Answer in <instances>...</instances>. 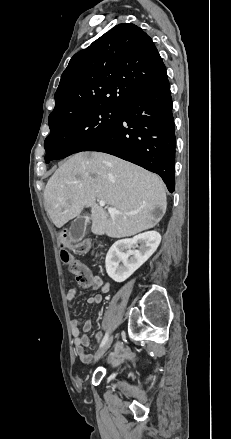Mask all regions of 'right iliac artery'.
Wrapping results in <instances>:
<instances>
[{
    "label": "right iliac artery",
    "instance_id": "82829eb1",
    "mask_svg": "<svg viewBox=\"0 0 231 439\" xmlns=\"http://www.w3.org/2000/svg\"><path fill=\"white\" fill-rule=\"evenodd\" d=\"M108 332L105 334V336H104V338H103V340H102V342H101V344H100V347H102L105 343H106V341L108 340Z\"/></svg>",
    "mask_w": 231,
    "mask_h": 439
}]
</instances>
